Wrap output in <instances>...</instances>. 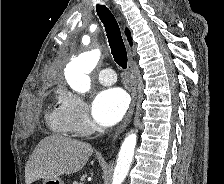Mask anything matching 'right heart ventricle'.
Returning <instances> with one entry per match:
<instances>
[{
    "label": "right heart ventricle",
    "mask_w": 224,
    "mask_h": 184,
    "mask_svg": "<svg viewBox=\"0 0 224 184\" xmlns=\"http://www.w3.org/2000/svg\"><path fill=\"white\" fill-rule=\"evenodd\" d=\"M48 124L50 128L52 129V131L56 133H60V134L73 133V130L68 121L62 102H60L59 105L55 106L49 113Z\"/></svg>",
    "instance_id": "1"
}]
</instances>
